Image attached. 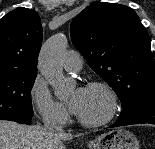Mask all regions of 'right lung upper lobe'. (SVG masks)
Segmentation results:
<instances>
[{
    "instance_id": "cb5924a9",
    "label": "right lung upper lobe",
    "mask_w": 155,
    "mask_h": 149,
    "mask_svg": "<svg viewBox=\"0 0 155 149\" xmlns=\"http://www.w3.org/2000/svg\"><path fill=\"white\" fill-rule=\"evenodd\" d=\"M42 26L36 11L18 7L0 19V72H37Z\"/></svg>"
}]
</instances>
